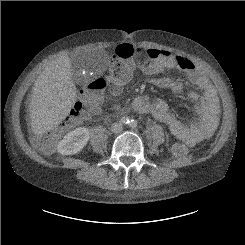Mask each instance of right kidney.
<instances>
[{"mask_svg": "<svg viewBox=\"0 0 245 245\" xmlns=\"http://www.w3.org/2000/svg\"><path fill=\"white\" fill-rule=\"evenodd\" d=\"M89 140V130L85 127L76 128L67 133L59 142L57 150L62 155H72L81 151Z\"/></svg>", "mask_w": 245, "mask_h": 245, "instance_id": "right-kidney-1", "label": "right kidney"}]
</instances>
